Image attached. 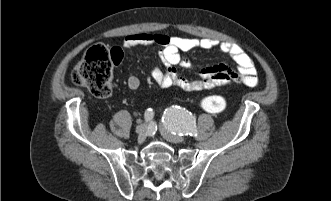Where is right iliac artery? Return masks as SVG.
Segmentation results:
<instances>
[{
    "mask_svg": "<svg viewBox=\"0 0 331 201\" xmlns=\"http://www.w3.org/2000/svg\"><path fill=\"white\" fill-rule=\"evenodd\" d=\"M154 116V112L152 109H147L145 111V114H144V119H145V122H148L150 121Z\"/></svg>",
    "mask_w": 331,
    "mask_h": 201,
    "instance_id": "right-iliac-artery-1",
    "label": "right iliac artery"
}]
</instances>
